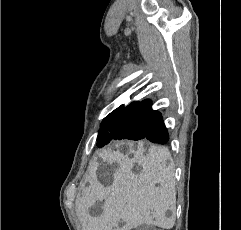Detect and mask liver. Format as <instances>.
Listing matches in <instances>:
<instances>
[{
	"label": "liver",
	"instance_id": "liver-1",
	"mask_svg": "<svg viewBox=\"0 0 241 230\" xmlns=\"http://www.w3.org/2000/svg\"><path fill=\"white\" fill-rule=\"evenodd\" d=\"M130 153L119 149H103L95 163V169L87 177L88 185L76 198L75 205L83 221V230H113L120 222L125 223L117 230H130L141 224H151L171 229L175 223L176 201L173 187L175 184L174 165L170 151L165 147L150 145L145 149L139 144L137 150L128 144ZM135 163L142 167L139 175L132 168ZM105 164L113 182L110 186L100 183L96 169ZM171 192V193H170ZM97 201L103 203L102 214L92 216L90 208ZM167 211L172 215L167 216Z\"/></svg>",
	"mask_w": 241,
	"mask_h": 230
}]
</instances>
